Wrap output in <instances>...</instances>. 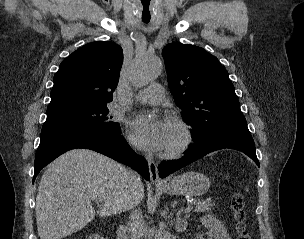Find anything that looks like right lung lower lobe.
Returning a JSON list of instances; mask_svg holds the SVG:
<instances>
[{"label":"right lung lower lobe","instance_id":"right-lung-lower-lobe-1","mask_svg":"<svg viewBox=\"0 0 304 239\" xmlns=\"http://www.w3.org/2000/svg\"><path fill=\"white\" fill-rule=\"evenodd\" d=\"M75 148L91 149L104 154L129 165L146 180L150 179L147 161L131 149L121 133L111 135L86 130H66L41 133L35 156L33 182L43 167L64 152Z\"/></svg>","mask_w":304,"mask_h":239}]
</instances>
